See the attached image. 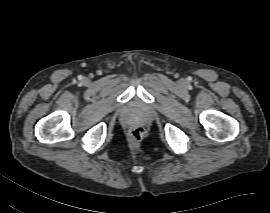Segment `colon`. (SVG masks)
<instances>
[{"instance_id": "colon-1", "label": "colon", "mask_w": 270, "mask_h": 213, "mask_svg": "<svg viewBox=\"0 0 270 213\" xmlns=\"http://www.w3.org/2000/svg\"><path fill=\"white\" fill-rule=\"evenodd\" d=\"M144 131L142 128H135L134 130H132L131 132V139L134 142H139L142 137H143Z\"/></svg>"}]
</instances>
